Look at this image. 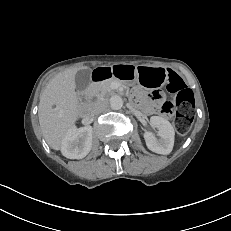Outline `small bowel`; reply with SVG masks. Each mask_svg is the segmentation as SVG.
<instances>
[{"mask_svg":"<svg viewBox=\"0 0 231 231\" xmlns=\"http://www.w3.org/2000/svg\"><path fill=\"white\" fill-rule=\"evenodd\" d=\"M156 98H157V99H159V100H161V98H160V97H158V96H156Z\"/></svg>","mask_w":231,"mask_h":231,"instance_id":"obj_1","label":"small bowel"}]
</instances>
